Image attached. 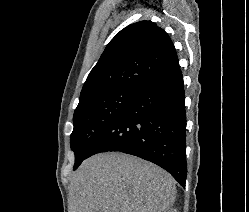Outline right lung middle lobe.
Instances as JSON below:
<instances>
[{"label": "right lung middle lobe", "mask_w": 249, "mask_h": 212, "mask_svg": "<svg viewBox=\"0 0 249 212\" xmlns=\"http://www.w3.org/2000/svg\"><path fill=\"white\" fill-rule=\"evenodd\" d=\"M137 94L134 91L109 92L94 96L77 106L70 137L71 149L75 153L74 170L87 158L98 137Z\"/></svg>", "instance_id": "obj_1"}]
</instances>
